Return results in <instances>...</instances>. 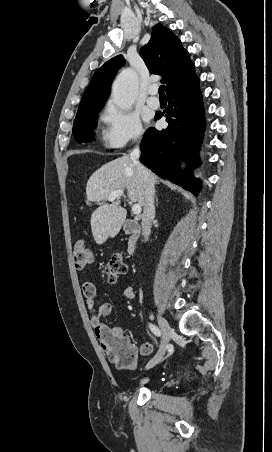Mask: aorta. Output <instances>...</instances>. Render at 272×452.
<instances>
[{
	"instance_id": "1",
	"label": "aorta",
	"mask_w": 272,
	"mask_h": 452,
	"mask_svg": "<svg viewBox=\"0 0 272 452\" xmlns=\"http://www.w3.org/2000/svg\"><path fill=\"white\" fill-rule=\"evenodd\" d=\"M138 76L132 69H124L112 85V101L122 110L130 109L137 97Z\"/></svg>"
}]
</instances>
